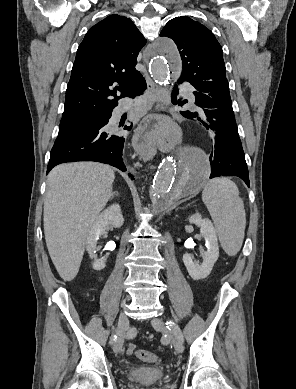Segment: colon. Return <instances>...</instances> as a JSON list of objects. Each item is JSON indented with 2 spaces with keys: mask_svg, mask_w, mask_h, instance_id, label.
<instances>
[{
  "mask_svg": "<svg viewBox=\"0 0 296 389\" xmlns=\"http://www.w3.org/2000/svg\"><path fill=\"white\" fill-rule=\"evenodd\" d=\"M127 353L129 355H134L148 363H156L159 360L158 356L155 353L147 350L138 349L134 344H129L127 348Z\"/></svg>",
  "mask_w": 296,
  "mask_h": 389,
  "instance_id": "obj_1",
  "label": "colon"
}]
</instances>
